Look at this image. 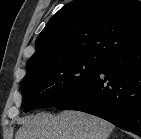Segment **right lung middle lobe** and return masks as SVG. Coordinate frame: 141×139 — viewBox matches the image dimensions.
Returning a JSON list of instances; mask_svg holds the SVG:
<instances>
[{
    "label": "right lung middle lobe",
    "instance_id": "obj_1",
    "mask_svg": "<svg viewBox=\"0 0 141 139\" xmlns=\"http://www.w3.org/2000/svg\"><path fill=\"white\" fill-rule=\"evenodd\" d=\"M104 61L85 56L27 70L21 84V108L28 112L56 106L88 83Z\"/></svg>",
    "mask_w": 141,
    "mask_h": 139
}]
</instances>
